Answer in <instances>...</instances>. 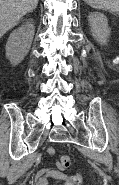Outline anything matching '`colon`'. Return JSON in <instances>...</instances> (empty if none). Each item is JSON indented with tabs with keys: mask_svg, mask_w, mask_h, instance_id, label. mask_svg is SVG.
Segmentation results:
<instances>
[{
	"mask_svg": "<svg viewBox=\"0 0 119 185\" xmlns=\"http://www.w3.org/2000/svg\"><path fill=\"white\" fill-rule=\"evenodd\" d=\"M72 164V160L68 155H62L59 158V165L63 168H67ZM81 175L76 173L74 175H71L63 185H80L81 183Z\"/></svg>",
	"mask_w": 119,
	"mask_h": 185,
	"instance_id": "obj_1",
	"label": "colon"
}]
</instances>
